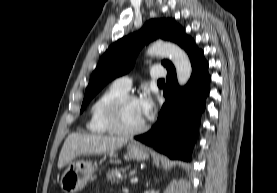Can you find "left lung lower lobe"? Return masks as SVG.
<instances>
[{
	"label": "left lung lower lobe",
	"instance_id": "1",
	"mask_svg": "<svg viewBox=\"0 0 277 193\" xmlns=\"http://www.w3.org/2000/svg\"><path fill=\"white\" fill-rule=\"evenodd\" d=\"M184 49L192 64L189 82L185 87H179L174 66L167 67V82L163 92L166 102L157 123L149 132L135 136V139L170 158L190 160L211 77L203 51L195 46L192 39Z\"/></svg>",
	"mask_w": 277,
	"mask_h": 193
}]
</instances>
